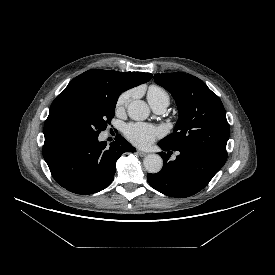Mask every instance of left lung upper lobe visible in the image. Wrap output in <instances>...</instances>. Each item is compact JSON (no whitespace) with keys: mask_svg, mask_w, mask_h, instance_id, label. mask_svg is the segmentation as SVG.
<instances>
[{"mask_svg":"<svg viewBox=\"0 0 275 275\" xmlns=\"http://www.w3.org/2000/svg\"><path fill=\"white\" fill-rule=\"evenodd\" d=\"M154 81L172 94L179 109L174 132L161 142L227 159L229 124L219 97L199 78L183 72L155 74Z\"/></svg>","mask_w":275,"mask_h":275,"instance_id":"5c2ea615","label":"left lung upper lobe"}]
</instances>
